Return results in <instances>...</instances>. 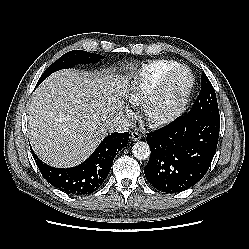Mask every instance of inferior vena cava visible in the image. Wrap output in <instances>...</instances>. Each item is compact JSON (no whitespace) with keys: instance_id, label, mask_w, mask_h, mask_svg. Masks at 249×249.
<instances>
[{"instance_id":"obj_1","label":"inferior vena cava","mask_w":249,"mask_h":249,"mask_svg":"<svg viewBox=\"0 0 249 249\" xmlns=\"http://www.w3.org/2000/svg\"><path fill=\"white\" fill-rule=\"evenodd\" d=\"M132 123L127 118L121 116L116 118L110 125H109V132H118L123 133L129 130Z\"/></svg>"}]
</instances>
